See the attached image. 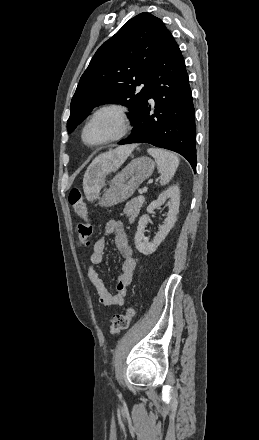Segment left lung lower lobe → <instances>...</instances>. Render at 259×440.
I'll list each match as a JSON object with an SVG mask.
<instances>
[{
  "instance_id": "0a47b994",
  "label": "left lung lower lobe",
  "mask_w": 259,
  "mask_h": 440,
  "mask_svg": "<svg viewBox=\"0 0 259 440\" xmlns=\"http://www.w3.org/2000/svg\"><path fill=\"white\" fill-rule=\"evenodd\" d=\"M147 102L133 132L119 144L150 143L175 151L196 169L195 118L192 93L181 51L170 34L157 60L147 89ZM155 102L154 114H150Z\"/></svg>"
}]
</instances>
